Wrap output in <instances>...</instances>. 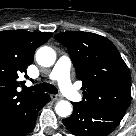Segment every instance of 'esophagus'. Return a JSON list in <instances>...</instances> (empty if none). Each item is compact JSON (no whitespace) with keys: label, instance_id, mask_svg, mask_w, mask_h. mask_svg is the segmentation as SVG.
Masks as SVG:
<instances>
[{"label":"esophagus","instance_id":"1","mask_svg":"<svg viewBox=\"0 0 136 136\" xmlns=\"http://www.w3.org/2000/svg\"><path fill=\"white\" fill-rule=\"evenodd\" d=\"M50 97H51V100L53 101H58L62 98L60 95H57V94H51Z\"/></svg>","mask_w":136,"mask_h":136}]
</instances>
